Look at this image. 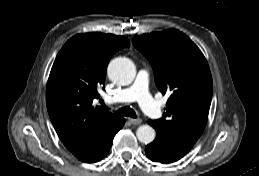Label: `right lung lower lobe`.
<instances>
[{
    "label": "right lung lower lobe",
    "mask_w": 259,
    "mask_h": 176,
    "mask_svg": "<svg viewBox=\"0 0 259 176\" xmlns=\"http://www.w3.org/2000/svg\"><path fill=\"white\" fill-rule=\"evenodd\" d=\"M123 125L124 119L122 118L119 128L113 134H111L107 139H105L93 152L84 157L79 158V160L87 163H93L103 159L111 148L114 136L123 127Z\"/></svg>",
    "instance_id": "1"
}]
</instances>
